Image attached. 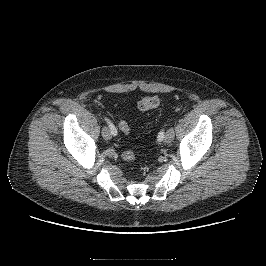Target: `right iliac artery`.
<instances>
[{"instance_id":"obj_1","label":"right iliac artery","mask_w":266,"mask_h":266,"mask_svg":"<svg viewBox=\"0 0 266 266\" xmlns=\"http://www.w3.org/2000/svg\"><path fill=\"white\" fill-rule=\"evenodd\" d=\"M105 121L109 125L111 134L114 135V136H116L117 135V130H116L115 126L107 118H105Z\"/></svg>"}]
</instances>
